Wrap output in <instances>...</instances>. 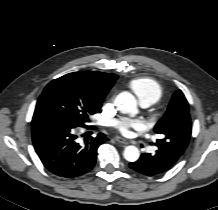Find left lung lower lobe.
<instances>
[{
	"instance_id": "left-lung-lower-lobe-1",
	"label": "left lung lower lobe",
	"mask_w": 218,
	"mask_h": 210,
	"mask_svg": "<svg viewBox=\"0 0 218 210\" xmlns=\"http://www.w3.org/2000/svg\"><path fill=\"white\" fill-rule=\"evenodd\" d=\"M180 157V153L166 155L158 147L155 153H143L136 162L130 163L129 166L141 174L153 176L170 169Z\"/></svg>"
}]
</instances>
